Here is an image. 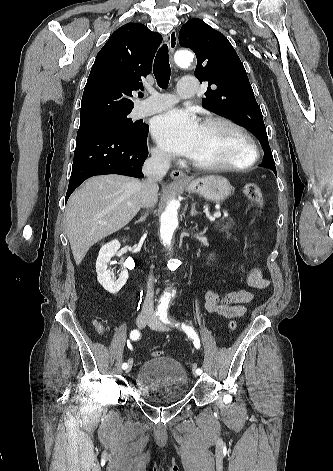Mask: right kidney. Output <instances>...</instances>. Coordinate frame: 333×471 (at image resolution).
<instances>
[{
  "label": "right kidney",
  "instance_id": "obj_1",
  "mask_svg": "<svg viewBox=\"0 0 333 471\" xmlns=\"http://www.w3.org/2000/svg\"><path fill=\"white\" fill-rule=\"evenodd\" d=\"M120 242L112 240L102 246L96 261L97 280L103 288L111 294H116L125 285L128 279V271L124 269L117 280H112V275L108 269L111 258L119 250Z\"/></svg>",
  "mask_w": 333,
  "mask_h": 471
}]
</instances>
